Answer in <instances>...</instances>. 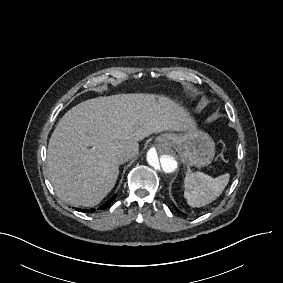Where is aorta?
Returning a JSON list of instances; mask_svg holds the SVG:
<instances>
[{"instance_id":"762f6f07","label":"aorta","mask_w":283,"mask_h":283,"mask_svg":"<svg viewBox=\"0 0 283 283\" xmlns=\"http://www.w3.org/2000/svg\"><path fill=\"white\" fill-rule=\"evenodd\" d=\"M148 169L159 179H166L178 170L176 153L167 145L156 144L146 155Z\"/></svg>"}]
</instances>
